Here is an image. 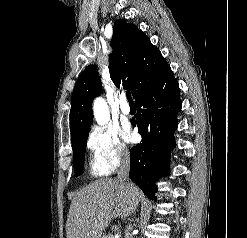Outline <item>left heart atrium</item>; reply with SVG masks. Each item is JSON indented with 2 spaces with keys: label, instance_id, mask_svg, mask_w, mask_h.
Returning a JSON list of instances; mask_svg holds the SVG:
<instances>
[{
  "label": "left heart atrium",
  "instance_id": "39dd6f15",
  "mask_svg": "<svg viewBox=\"0 0 247 238\" xmlns=\"http://www.w3.org/2000/svg\"><path fill=\"white\" fill-rule=\"evenodd\" d=\"M124 137H125V139L128 140V141H130V140L133 139V135H132V133L129 132V130H125V132H124Z\"/></svg>",
  "mask_w": 247,
  "mask_h": 238
}]
</instances>
